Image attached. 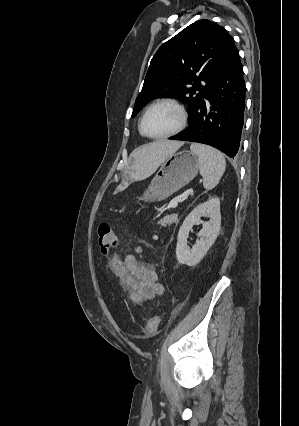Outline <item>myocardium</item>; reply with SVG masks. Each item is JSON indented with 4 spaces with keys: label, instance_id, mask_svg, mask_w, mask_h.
Returning a JSON list of instances; mask_svg holds the SVG:
<instances>
[{
    "label": "myocardium",
    "instance_id": "1",
    "mask_svg": "<svg viewBox=\"0 0 299 426\" xmlns=\"http://www.w3.org/2000/svg\"><path fill=\"white\" fill-rule=\"evenodd\" d=\"M161 104H169L174 106L180 113V123L177 126L176 129H174L173 131L167 133V134H163V135H159V136H153L148 134L145 129H144V121L146 116L148 115V113L150 112V110L152 108H154L155 106L161 105ZM188 123V110L186 108V106L179 100L175 99V98H162L159 100L154 101L153 103H151L145 110V112L143 113L140 123H139V129L140 132L142 133V135H144L147 138L150 139H154V140H162V139H167L170 138L172 136H175L179 133H181L187 126Z\"/></svg>",
    "mask_w": 299,
    "mask_h": 426
}]
</instances>
